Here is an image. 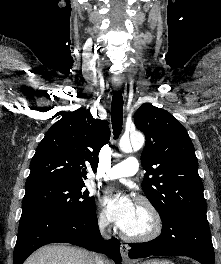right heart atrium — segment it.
<instances>
[{"instance_id":"1","label":"right heart atrium","mask_w":221,"mask_h":264,"mask_svg":"<svg viewBox=\"0 0 221 264\" xmlns=\"http://www.w3.org/2000/svg\"><path fill=\"white\" fill-rule=\"evenodd\" d=\"M97 224L101 229H106L108 227V221L103 213L98 215Z\"/></svg>"}]
</instances>
